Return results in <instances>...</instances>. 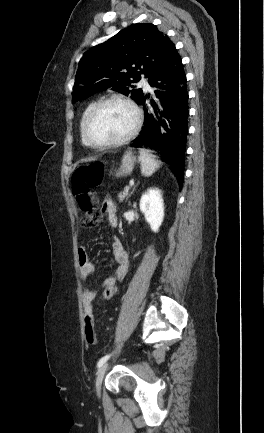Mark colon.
Wrapping results in <instances>:
<instances>
[{"mask_svg":"<svg viewBox=\"0 0 264 433\" xmlns=\"http://www.w3.org/2000/svg\"><path fill=\"white\" fill-rule=\"evenodd\" d=\"M104 167L101 163L82 165L75 170L72 176V191L79 207L84 211L82 225L86 228L97 226L103 218L102 212L97 208V200L92 189L98 187L103 180ZM118 292L115 284L106 286L102 294V301L109 302Z\"/></svg>","mask_w":264,"mask_h":433,"instance_id":"5ec220e1","label":"colon"}]
</instances>
